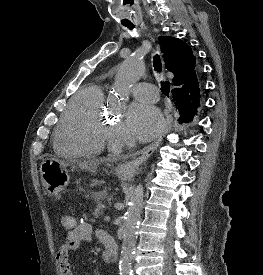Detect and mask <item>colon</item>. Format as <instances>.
Here are the masks:
<instances>
[{
    "instance_id": "colon-1",
    "label": "colon",
    "mask_w": 263,
    "mask_h": 275,
    "mask_svg": "<svg viewBox=\"0 0 263 275\" xmlns=\"http://www.w3.org/2000/svg\"><path fill=\"white\" fill-rule=\"evenodd\" d=\"M61 225L64 229L71 230L76 225V219L72 215H63L61 217Z\"/></svg>"
}]
</instances>
